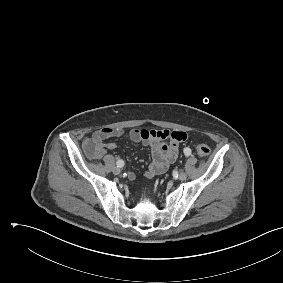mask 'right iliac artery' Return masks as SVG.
<instances>
[{
	"label": "right iliac artery",
	"mask_w": 283,
	"mask_h": 283,
	"mask_svg": "<svg viewBox=\"0 0 283 283\" xmlns=\"http://www.w3.org/2000/svg\"><path fill=\"white\" fill-rule=\"evenodd\" d=\"M116 164H117V167L121 168V167L124 166V161H123V160H118V161L116 162Z\"/></svg>",
	"instance_id": "82829eb1"
}]
</instances>
